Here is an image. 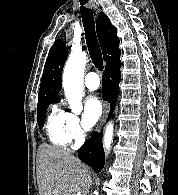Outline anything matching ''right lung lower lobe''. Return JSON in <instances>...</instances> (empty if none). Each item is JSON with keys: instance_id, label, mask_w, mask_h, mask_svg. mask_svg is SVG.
Returning a JSON list of instances; mask_svg holds the SVG:
<instances>
[{"instance_id": "98d812e1", "label": "right lung lower lobe", "mask_w": 178, "mask_h": 195, "mask_svg": "<svg viewBox=\"0 0 178 195\" xmlns=\"http://www.w3.org/2000/svg\"><path fill=\"white\" fill-rule=\"evenodd\" d=\"M120 67L121 64L105 69L102 77L103 98L110 102L109 118L114 111L119 92V82L121 80ZM102 135L103 131L100 133L95 132L78 152V157L96 172H100L105 164Z\"/></svg>"}]
</instances>
